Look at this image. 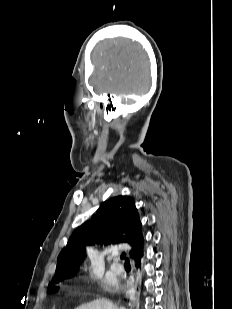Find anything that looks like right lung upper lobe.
Returning <instances> with one entry per match:
<instances>
[{
	"label": "right lung upper lobe",
	"instance_id": "1",
	"mask_svg": "<svg viewBox=\"0 0 232 309\" xmlns=\"http://www.w3.org/2000/svg\"><path fill=\"white\" fill-rule=\"evenodd\" d=\"M142 225L134 201L126 196L113 197L102 204L97 213L76 228L57 259L53 282L67 278L85 258V246L128 243L130 256L137 260L143 255ZM66 272V274L62 273ZM55 287H49L54 293Z\"/></svg>",
	"mask_w": 232,
	"mask_h": 309
}]
</instances>
